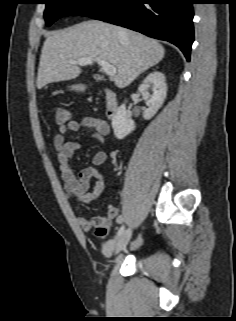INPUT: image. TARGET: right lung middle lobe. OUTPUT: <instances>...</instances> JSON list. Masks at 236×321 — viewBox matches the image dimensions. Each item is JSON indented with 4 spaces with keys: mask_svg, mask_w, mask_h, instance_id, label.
I'll return each instance as SVG.
<instances>
[{
    "mask_svg": "<svg viewBox=\"0 0 236 321\" xmlns=\"http://www.w3.org/2000/svg\"><path fill=\"white\" fill-rule=\"evenodd\" d=\"M111 0H45L44 13L46 25L50 26L57 19L70 16H89L107 5Z\"/></svg>",
    "mask_w": 236,
    "mask_h": 321,
    "instance_id": "right-lung-middle-lobe-1",
    "label": "right lung middle lobe"
}]
</instances>
